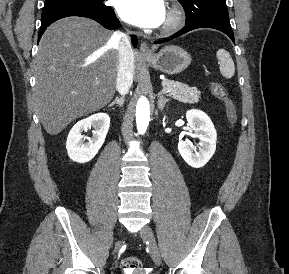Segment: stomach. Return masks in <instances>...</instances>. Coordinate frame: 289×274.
Returning <instances> with one entry per match:
<instances>
[{"label": "stomach", "instance_id": "stomach-1", "mask_svg": "<svg viewBox=\"0 0 289 274\" xmlns=\"http://www.w3.org/2000/svg\"><path fill=\"white\" fill-rule=\"evenodd\" d=\"M153 68L168 75H175L184 71L191 63L190 54L175 45L166 46L150 57L144 58Z\"/></svg>", "mask_w": 289, "mask_h": 274}]
</instances>
